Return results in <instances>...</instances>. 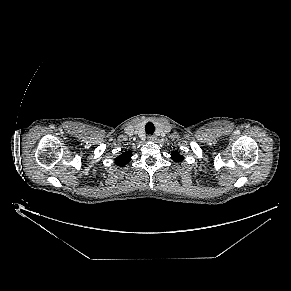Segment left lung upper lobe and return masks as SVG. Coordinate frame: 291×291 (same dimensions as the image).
I'll list each match as a JSON object with an SVG mask.
<instances>
[{"instance_id": "1", "label": "left lung upper lobe", "mask_w": 291, "mask_h": 291, "mask_svg": "<svg viewBox=\"0 0 291 291\" xmlns=\"http://www.w3.org/2000/svg\"><path fill=\"white\" fill-rule=\"evenodd\" d=\"M171 158L175 161V162H181L184 160V157L182 155H180L179 153H177V151H173L171 154Z\"/></svg>"}]
</instances>
